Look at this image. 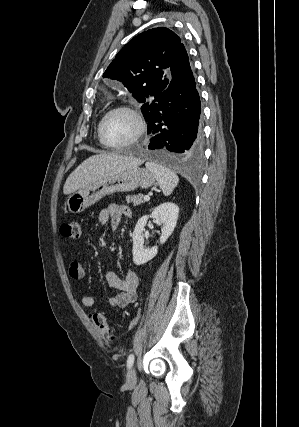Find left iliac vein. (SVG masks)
<instances>
[{
	"mask_svg": "<svg viewBox=\"0 0 299 427\" xmlns=\"http://www.w3.org/2000/svg\"><path fill=\"white\" fill-rule=\"evenodd\" d=\"M136 370L134 368L130 369L127 375V383L134 384L136 382Z\"/></svg>",
	"mask_w": 299,
	"mask_h": 427,
	"instance_id": "1",
	"label": "left iliac vein"
}]
</instances>
